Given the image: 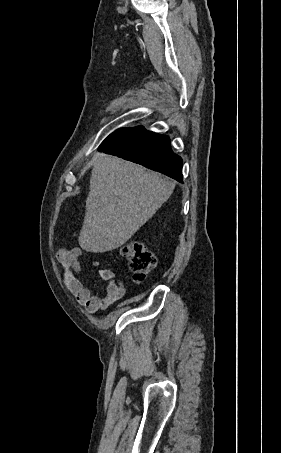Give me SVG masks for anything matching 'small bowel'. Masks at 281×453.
Segmentation results:
<instances>
[{
  "label": "small bowel",
  "instance_id": "1",
  "mask_svg": "<svg viewBox=\"0 0 281 453\" xmlns=\"http://www.w3.org/2000/svg\"><path fill=\"white\" fill-rule=\"evenodd\" d=\"M81 254L78 249L60 250L57 254V261L64 270L67 285L76 293L78 299L85 304L86 312L94 314L123 297L126 293V285L121 277L116 278L115 273L111 269L100 268L98 269V276L107 282V286L104 296L94 295L91 288L77 278ZM93 264L100 267L97 261H93Z\"/></svg>",
  "mask_w": 281,
  "mask_h": 453
}]
</instances>
